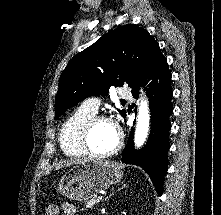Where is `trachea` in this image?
<instances>
[{
	"label": "trachea",
	"instance_id": "trachea-1",
	"mask_svg": "<svg viewBox=\"0 0 221 215\" xmlns=\"http://www.w3.org/2000/svg\"><path fill=\"white\" fill-rule=\"evenodd\" d=\"M122 103H126V101H125V100H122Z\"/></svg>",
	"mask_w": 221,
	"mask_h": 215
}]
</instances>
